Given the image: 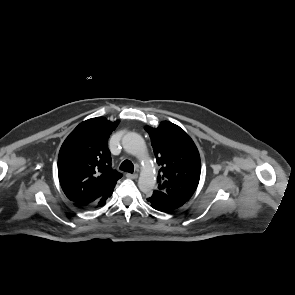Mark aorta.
<instances>
[{"label": "aorta", "instance_id": "762f6f07", "mask_svg": "<svg viewBox=\"0 0 295 295\" xmlns=\"http://www.w3.org/2000/svg\"><path fill=\"white\" fill-rule=\"evenodd\" d=\"M124 150L142 160L147 157V147L141 135L129 132L122 139ZM156 184V177L150 167H144L140 173L138 187L143 193H150Z\"/></svg>", "mask_w": 295, "mask_h": 295}]
</instances>
